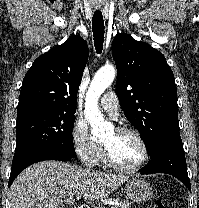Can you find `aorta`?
Returning a JSON list of instances; mask_svg holds the SVG:
<instances>
[{
	"mask_svg": "<svg viewBox=\"0 0 199 208\" xmlns=\"http://www.w3.org/2000/svg\"><path fill=\"white\" fill-rule=\"evenodd\" d=\"M115 69L112 65H106L99 69L91 81L86 94L85 118L92 127L94 136H101L111 125L104 121L98 108V100L102 93L108 88L115 78Z\"/></svg>",
	"mask_w": 199,
	"mask_h": 208,
	"instance_id": "1",
	"label": "aorta"
}]
</instances>
